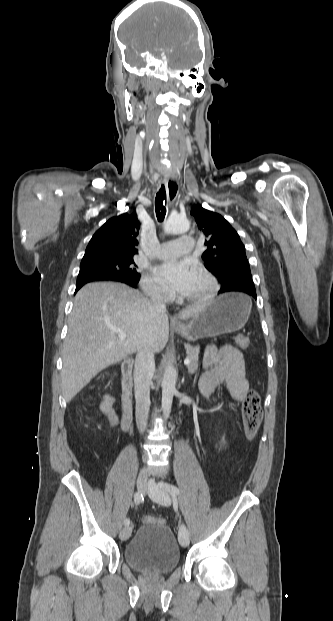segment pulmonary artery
Returning a JSON list of instances; mask_svg holds the SVG:
<instances>
[{
  "label": "pulmonary artery",
  "mask_w": 333,
  "mask_h": 621,
  "mask_svg": "<svg viewBox=\"0 0 333 621\" xmlns=\"http://www.w3.org/2000/svg\"><path fill=\"white\" fill-rule=\"evenodd\" d=\"M194 249L192 237L183 235L174 241L161 243L155 250L154 256L160 259L175 258L182 254L191 252Z\"/></svg>",
  "instance_id": "e3ab8cb5"
}]
</instances>
